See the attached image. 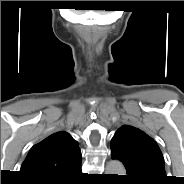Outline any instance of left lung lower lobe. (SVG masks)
Returning <instances> with one entry per match:
<instances>
[{
    "label": "left lung lower lobe",
    "instance_id": "obj_1",
    "mask_svg": "<svg viewBox=\"0 0 184 184\" xmlns=\"http://www.w3.org/2000/svg\"><path fill=\"white\" fill-rule=\"evenodd\" d=\"M111 157L112 159H118L120 161H122V163L124 164L125 168H126V172L127 175L124 176V179L130 183V184H155L152 182H146V181H142L136 174L135 172L121 159V157H119L115 152L111 151Z\"/></svg>",
    "mask_w": 184,
    "mask_h": 184
}]
</instances>
